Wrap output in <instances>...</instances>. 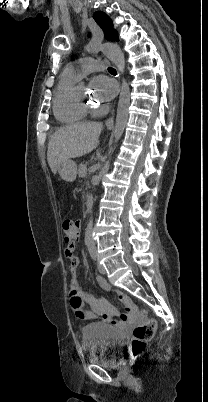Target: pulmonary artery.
<instances>
[{"label": "pulmonary artery", "instance_id": "obj_1", "mask_svg": "<svg viewBox=\"0 0 208 402\" xmlns=\"http://www.w3.org/2000/svg\"><path fill=\"white\" fill-rule=\"evenodd\" d=\"M91 62L92 60L87 57L80 58L75 62L68 64L65 68V72L79 80L92 72L93 68L90 65ZM92 64L94 65L95 71H103L107 62L104 60H95Z\"/></svg>", "mask_w": 208, "mask_h": 402}]
</instances>
